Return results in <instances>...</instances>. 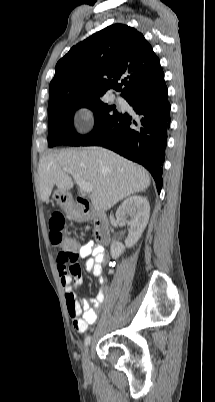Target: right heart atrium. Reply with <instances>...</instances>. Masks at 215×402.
<instances>
[{"instance_id": "obj_1", "label": "right heart atrium", "mask_w": 215, "mask_h": 402, "mask_svg": "<svg viewBox=\"0 0 215 402\" xmlns=\"http://www.w3.org/2000/svg\"><path fill=\"white\" fill-rule=\"evenodd\" d=\"M76 119L78 130L84 132L88 129L93 120V113L87 108H80L76 112Z\"/></svg>"}]
</instances>
